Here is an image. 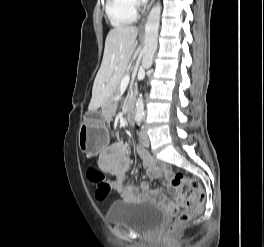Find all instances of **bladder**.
Returning a JSON list of instances; mask_svg holds the SVG:
<instances>
[{
    "mask_svg": "<svg viewBox=\"0 0 264 247\" xmlns=\"http://www.w3.org/2000/svg\"><path fill=\"white\" fill-rule=\"evenodd\" d=\"M112 224H122L139 233H152L166 220V213L154 204L142 201H117L106 215Z\"/></svg>",
    "mask_w": 264,
    "mask_h": 247,
    "instance_id": "bladder-1",
    "label": "bladder"
}]
</instances>
